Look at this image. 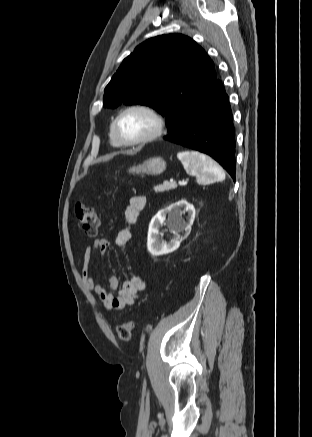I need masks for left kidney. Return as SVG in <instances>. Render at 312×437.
Returning <instances> with one entry per match:
<instances>
[{
	"label": "left kidney",
	"mask_w": 312,
	"mask_h": 437,
	"mask_svg": "<svg viewBox=\"0 0 312 437\" xmlns=\"http://www.w3.org/2000/svg\"><path fill=\"white\" fill-rule=\"evenodd\" d=\"M184 208V209H183ZM189 211L190 216L187 221L182 218V215ZM195 208L186 200H180L171 204L167 208L160 210L151 220L148 230L147 248L153 256H160L171 253L179 248L183 237L180 233H189L195 219ZM166 216L168 217L165 223ZM175 235L169 242H164L160 239L159 229L166 225Z\"/></svg>",
	"instance_id": "left-kidney-1"
}]
</instances>
